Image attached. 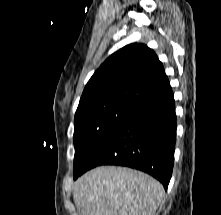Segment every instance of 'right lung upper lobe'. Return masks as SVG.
<instances>
[{
  "mask_svg": "<svg viewBox=\"0 0 221 215\" xmlns=\"http://www.w3.org/2000/svg\"><path fill=\"white\" fill-rule=\"evenodd\" d=\"M170 86L164 67L144 44H130L112 54L95 71L79 106L97 101L136 105Z\"/></svg>",
  "mask_w": 221,
  "mask_h": 215,
  "instance_id": "right-lung-upper-lobe-1",
  "label": "right lung upper lobe"
}]
</instances>
